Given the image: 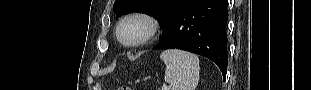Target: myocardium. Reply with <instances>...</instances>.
Wrapping results in <instances>:
<instances>
[{
	"mask_svg": "<svg viewBox=\"0 0 311 90\" xmlns=\"http://www.w3.org/2000/svg\"><path fill=\"white\" fill-rule=\"evenodd\" d=\"M129 24H139L142 26V33L135 38H125L123 29ZM159 31V23L155 17L146 13H132L123 17L116 26V39L125 47H137L151 41Z\"/></svg>",
	"mask_w": 311,
	"mask_h": 90,
	"instance_id": "myocardium-1",
	"label": "myocardium"
}]
</instances>
